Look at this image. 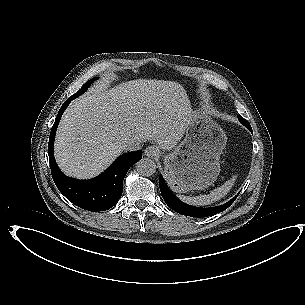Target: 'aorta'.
Listing matches in <instances>:
<instances>
[{"instance_id": "1", "label": "aorta", "mask_w": 305, "mask_h": 305, "mask_svg": "<svg viewBox=\"0 0 305 305\" xmlns=\"http://www.w3.org/2000/svg\"><path fill=\"white\" fill-rule=\"evenodd\" d=\"M157 169L156 163L149 158H142L136 163V170L140 175L152 176Z\"/></svg>"}]
</instances>
